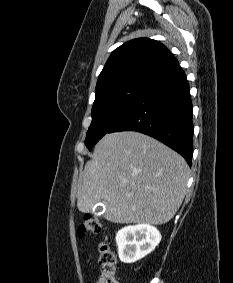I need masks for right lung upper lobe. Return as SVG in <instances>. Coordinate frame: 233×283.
Wrapping results in <instances>:
<instances>
[{
  "mask_svg": "<svg viewBox=\"0 0 233 283\" xmlns=\"http://www.w3.org/2000/svg\"><path fill=\"white\" fill-rule=\"evenodd\" d=\"M176 66L177 59L160 42L134 39L112 52L98 77L96 92L131 80L152 81Z\"/></svg>",
  "mask_w": 233,
  "mask_h": 283,
  "instance_id": "1",
  "label": "right lung upper lobe"
}]
</instances>
